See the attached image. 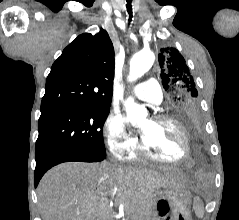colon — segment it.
Listing matches in <instances>:
<instances>
[{
  "instance_id": "5ec220e1",
  "label": "colon",
  "mask_w": 239,
  "mask_h": 220,
  "mask_svg": "<svg viewBox=\"0 0 239 220\" xmlns=\"http://www.w3.org/2000/svg\"><path fill=\"white\" fill-rule=\"evenodd\" d=\"M159 213L161 216H167L169 214V204L166 201H161L158 205ZM184 220V219H181Z\"/></svg>"
}]
</instances>
